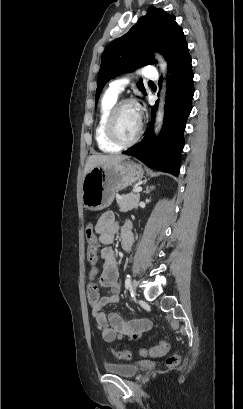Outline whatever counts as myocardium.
Wrapping results in <instances>:
<instances>
[{
  "instance_id": "1",
  "label": "myocardium",
  "mask_w": 243,
  "mask_h": 409,
  "mask_svg": "<svg viewBox=\"0 0 243 409\" xmlns=\"http://www.w3.org/2000/svg\"><path fill=\"white\" fill-rule=\"evenodd\" d=\"M125 106H134L138 108L137 103L134 100L131 99H122L113 106L111 111L109 112V115L106 120V135L109 138V140L119 146V147H126L135 144L143 135L144 132V124L142 119L140 118V128L137 132V134L131 138V139H123L116 126V120L119 112L125 107Z\"/></svg>"
}]
</instances>
